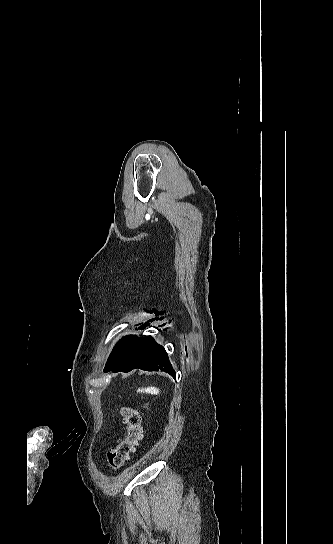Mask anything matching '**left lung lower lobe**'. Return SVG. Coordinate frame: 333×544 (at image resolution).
<instances>
[{"label":"left lung lower lobe","mask_w":333,"mask_h":544,"mask_svg":"<svg viewBox=\"0 0 333 544\" xmlns=\"http://www.w3.org/2000/svg\"><path fill=\"white\" fill-rule=\"evenodd\" d=\"M135 368L147 371H165L175 378V371L169 362L163 346L152 337L131 344H123L109 357L104 372H129Z\"/></svg>","instance_id":"1"}]
</instances>
